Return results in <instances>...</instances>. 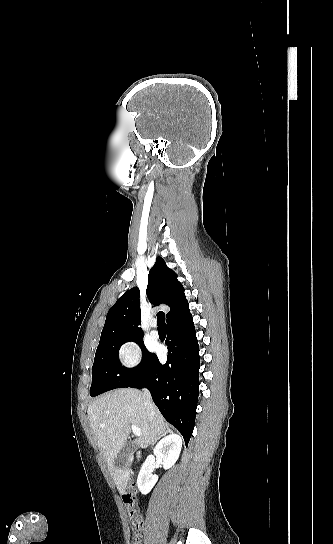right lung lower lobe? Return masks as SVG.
I'll return each instance as SVG.
<instances>
[{
    "label": "right lung lower lobe",
    "mask_w": 333,
    "mask_h": 544,
    "mask_svg": "<svg viewBox=\"0 0 333 544\" xmlns=\"http://www.w3.org/2000/svg\"><path fill=\"white\" fill-rule=\"evenodd\" d=\"M168 356L162 365L152 354L141 379L129 387L149 389L164 418L183 435L193 432L199 393V346L189 312L167 323Z\"/></svg>",
    "instance_id": "98d812e1"
}]
</instances>
